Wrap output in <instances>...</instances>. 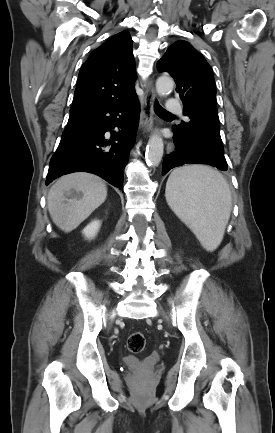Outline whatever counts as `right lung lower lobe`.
Instances as JSON below:
<instances>
[{
    "mask_svg": "<svg viewBox=\"0 0 275 433\" xmlns=\"http://www.w3.org/2000/svg\"><path fill=\"white\" fill-rule=\"evenodd\" d=\"M139 113L135 95L71 115L50 160L46 185L62 175L81 171L94 173L123 191V171L135 141ZM115 127L119 132L112 130Z\"/></svg>",
    "mask_w": 275,
    "mask_h": 433,
    "instance_id": "98d812e1",
    "label": "right lung lower lobe"
}]
</instances>
